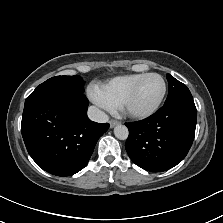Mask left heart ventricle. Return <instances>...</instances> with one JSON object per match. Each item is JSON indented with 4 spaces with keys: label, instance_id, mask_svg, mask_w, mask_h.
Returning <instances> with one entry per match:
<instances>
[{
    "label": "left heart ventricle",
    "instance_id": "obj_1",
    "mask_svg": "<svg viewBox=\"0 0 223 223\" xmlns=\"http://www.w3.org/2000/svg\"><path fill=\"white\" fill-rule=\"evenodd\" d=\"M161 92V79L157 76L146 77L140 84L128 108L136 112L147 111L155 105Z\"/></svg>",
    "mask_w": 223,
    "mask_h": 223
}]
</instances>
